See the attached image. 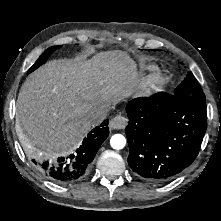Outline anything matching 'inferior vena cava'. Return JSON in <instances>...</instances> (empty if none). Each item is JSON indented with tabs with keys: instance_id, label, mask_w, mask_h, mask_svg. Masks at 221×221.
<instances>
[{
	"instance_id": "602c4592",
	"label": "inferior vena cava",
	"mask_w": 221,
	"mask_h": 221,
	"mask_svg": "<svg viewBox=\"0 0 221 221\" xmlns=\"http://www.w3.org/2000/svg\"><path fill=\"white\" fill-rule=\"evenodd\" d=\"M108 105H100L93 107L87 114V119L93 125L101 123L107 116L109 111Z\"/></svg>"
}]
</instances>
